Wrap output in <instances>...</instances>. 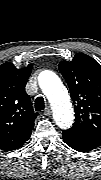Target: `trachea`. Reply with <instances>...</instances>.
I'll use <instances>...</instances> for the list:
<instances>
[{
  "instance_id": "obj_1",
  "label": "trachea",
  "mask_w": 101,
  "mask_h": 180,
  "mask_svg": "<svg viewBox=\"0 0 101 180\" xmlns=\"http://www.w3.org/2000/svg\"><path fill=\"white\" fill-rule=\"evenodd\" d=\"M45 108V102L43 97H37L35 100V109L36 111H41Z\"/></svg>"
}]
</instances>
